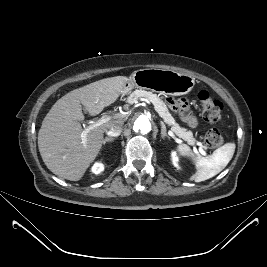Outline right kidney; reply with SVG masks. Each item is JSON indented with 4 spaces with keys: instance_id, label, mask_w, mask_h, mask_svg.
Instances as JSON below:
<instances>
[{
    "instance_id": "obj_1",
    "label": "right kidney",
    "mask_w": 267,
    "mask_h": 267,
    "mask_svg": "<svg viewBox=\"0 0 267 267\" xmlns=\"http://www.w3.org/2000/svg\"><path fill=\"white\" fill-rule=\"evenodd\" d=\"M104 170V165L102 163H95L92 167V172L96 175L100 174Z\"/></svg>"
}]
</instances>
